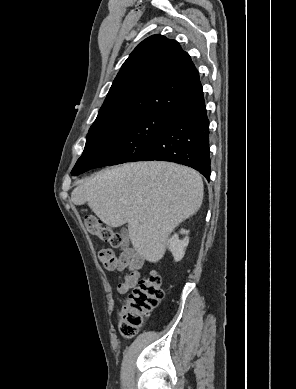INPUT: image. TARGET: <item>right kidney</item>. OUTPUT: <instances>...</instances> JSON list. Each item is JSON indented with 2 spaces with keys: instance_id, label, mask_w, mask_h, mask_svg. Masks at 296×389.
Returning a JSON list of instances; mask_svg holds the SVG:
<instances>
[{
  "instance_id": "ca27d5eb",
  "label": "right kidney",
  "mask_w": 296,
  "mask_h": 389,
  "mask_svg": "<svg viewBox=\"0 0 296 389\" xmlns=\"http://www.w3.org/2000/svg\"><path fill=\"white\" fill-rule=\"evenodd\" d=\"M180 233L186 234L183 240L179 239L178 234H174L167 242L168 249L171 251L176 262L184 257L186 247L189 244V237L187 236L189 231L181 229Z\"/></svg>"
}]
</instances>
